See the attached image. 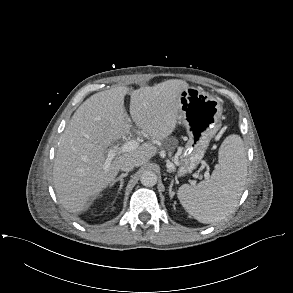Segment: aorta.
<instances>
[{"label": "aorta", "instance_id": "aorta-1", "mask_svg": "<svg viewBox=\"0 0 293 293\" xmlns=\"http://www.w3.org/2000/svg\"><path fill=\"white\" fill-rule=\"evenodd\" d=\"M140 181L146 187H152L157 183V175L153 171H144L141 174Z\"/></svg>", "mask_w": 293, "mask_h": 293}]
</instances>
